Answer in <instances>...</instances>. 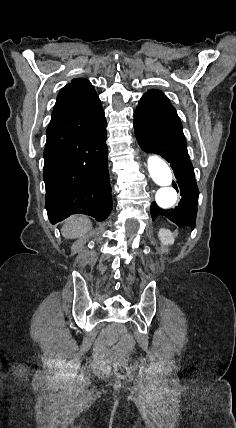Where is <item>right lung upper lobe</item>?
Returning a JSON list of instances; mask_svg holds the SVG:
<instances>
[{
	"label": "right lung upper lobe",
	"instance_id": "obj_1",
	"mask_svg": "<svg viewBox=\"0 0 236 428\" xmlns=\"http://www.w3.org/2000/svg\"><path fill=\"white\" fill-rule=\"evenodd\" d=\"M101 107V102L92 84L85 78L73 79L58 94L51 121L92 113Z\"/></svg>",
	"mask_w": 236,
	"mask_h": 428
}]
</instances>
